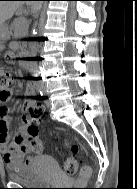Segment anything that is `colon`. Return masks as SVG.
Instances as JSON below:
<instances>
[{
	"instance_id": "1",
	"label": "colon",
	"mask_w": 137,
	"mask_h": 189,
	"mask_svg": "<svg viewBox=\"0 0 137 189\" xmlns=\"http://www.w3.org/2000/svg\"><path fill=\"white\" fill-rule=\"evenodd\" d=\"M13 81V75L9 68L0 66V99H7L10 95L9 87ZM26 113L31 123L27 127V135L24 138V145L37 152L42 150V143L38 135V127L34 123L41 118L44 112V106L41 103H33L26 106ZM71 146L74 155L81 152V147L77 143H67ZM77 159L75 156L69 157L65 160L63 169L68 175H73L77 171ZM91 176V170L85 169L82 173L83 179H88Z\"/></svg>"
}]
</instances>
